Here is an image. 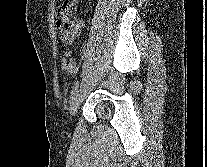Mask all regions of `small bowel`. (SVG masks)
Listing matches in <instances>:
<instances>
[{
	"mask_svg": "<svg viewBox=\"0 0 207 167\" xmlns=\"http://www.w3.org/2000/svg\"><path fill=\"white\" fill-rule=\"evenodd\" d=\"M83 28V22L79 21L76 27L75 35L77 36L81 29ZM63 42L66 46L71 45L73 40L69 41L66 38H63ZM62 69L65 70L67 73H74L76 70V61L73 57V52L70 49H67L64 53V57L61 62Z\"/></svg>",
	"mask_w": 207,
	"mask_h": 167,
	"instance_id": "1",
	"label": "small bowel"
}]
</instances>
